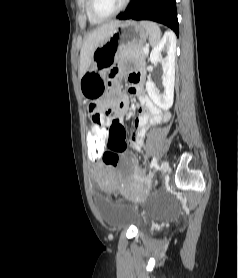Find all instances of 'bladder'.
<instances>
[{
	"instance_id": "31cf9c89",
	"label": "bladder",
	"mask_w": 238,
	"mask_h": 278,
	"mask_svg": "<svg viewBox=\"0 0 238 278\" xmlns=\"http://www.w3.org/2000/svg\"><path fill=\"white\" fill-rule=\"evenodd\" d=\"M96 205L103 222L109 227L141 224L135 209L128 204H116L115 200L100 196L96 199Z\"/></svg>"
}]
</instances>
